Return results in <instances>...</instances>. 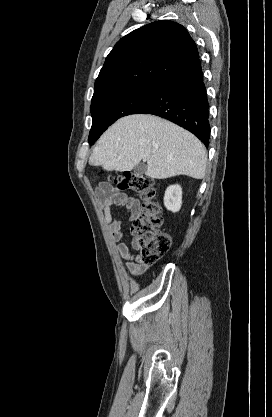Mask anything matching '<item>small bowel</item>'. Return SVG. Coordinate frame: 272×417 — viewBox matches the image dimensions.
Returning a JSON list of instances; mask_svg holds the SVG:
<instances>
[{
    "label": "small bowel",
    "instance_id": "c3829d8e",
    "mask_svg": "<svg viewBox=\"0 0 272 417\" xmlns=\"http://www.w3.org/2000/svg\"><path fill=\"white\" fill-rule=\"evenodd\" d=\"M95 196L99 208L104 214L105 223L110 229L113 241L116 243L117 253L126 260L125 267L131 275L139 276L147 270V265H144L140 256L133 253L130 247L122 242L123 239V223L121 220L114 219L112 216V209L114 207H121L128 211L130 220H135L140 213V203L137 199L121 192L118 188L112 186L108 182H100L95 189ZM132 247L137 248L136 240L131 243Z\"/></svg>",
    "mask_w": 272,
    "mask_h": 417
}]
</instances>
